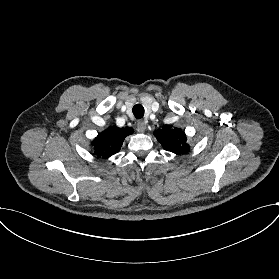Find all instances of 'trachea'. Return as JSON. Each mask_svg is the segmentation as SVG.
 Instances as JSON below:
<instances>
[{"label": "trachea", "instance_id": "1", "mask_svg": "<svg viewBox=\"0 0 279 279\" xmlns=\"http://www.w3.org/2000/svg\"><path fill=\"white\" fill-rule=\"evenodd\" d=\"M133 114L137 119H140L144 116V108L141 104H136L133 107Z\"/></svg>", "mask_w": 279, "mask_h": 279}]
</instances>
